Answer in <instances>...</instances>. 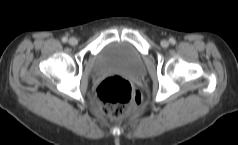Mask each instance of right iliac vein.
<instances>
[{
  "label": "right iliac vein",
  "instance_id": "63e3f726",
  "mask_svg": "<svg viewBox=\"0 0 238 145\" xmlns=\"http://www.w3.org/2000/svg\"><path fill=\"white\" fill-rule=\"evenodd\" d=\"M77 43H78V40L76 38L72 37L69 39L70 45L75 46V45H77Z\"/></svg>",
  "mask_w": 238,
  "mask_h": 145
}]
</instances>
